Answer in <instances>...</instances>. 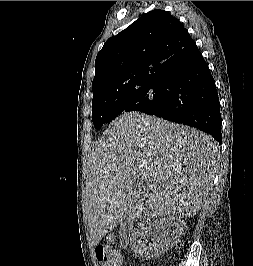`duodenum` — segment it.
Segmentation results:
<instances>
[{"instance_id": "410a0bca", "label": "duodenum", "mask_w": 253, "mask_h": 266, "mask_svg": "<svg viewBox=\"0 0 253 266\" xmlns=\"http://www.w3.org/2000/svg\"><path fill=\"white\" fill-rule=\"evenodd\" d=\"M130 232H131V229H130V227H128V228L126 229V239H127V240H129V238H130Z\"/></svg>"}]
</instances>
